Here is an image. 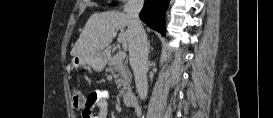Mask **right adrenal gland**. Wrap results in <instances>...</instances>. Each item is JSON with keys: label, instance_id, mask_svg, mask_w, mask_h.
<instances>
[{"label": "right adrenal gland", "instance_id": "2a0ac1e0", "mask_svg": "<svg viewBox=\"0 0 273 118\" xmlns=\"http://www.w3.org/2000/svg\"><path fill=\"white\" fill-rule=\"evenodd\" d=\"M148 50L150 52V42L148 41Z\"/></svg>", "mask_w": 273, "mask_h": 118}]
</instances>
